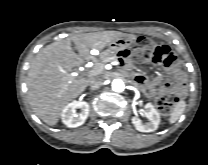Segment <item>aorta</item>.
I'll return each mask as SVG.
<instances>
[{
  "instance_id": "1",
  "label": "aorta",
  "mask_w": 208,
  "mask_h": 165,
  "mask_svg": "<svg viewBox=\"0 0 208 165\" xmlns=\"http://www.w3.org/2000/svg\"><path fill=\"white\" fill-rule=\"evenodd\" d=\"M125 89L124 82L121 79H114L112 81V90L115 92H122Z\"/></svg>"
}]
</instances>
